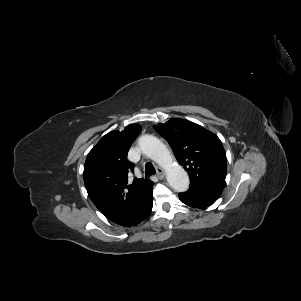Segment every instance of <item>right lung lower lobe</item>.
I'll return each instance as SVG.
<instances>
[{
	"label": "right lung lower lobe",
	"instance_id": "obj_1",
	"mask_svg": "<svg viewBox=\"0 0 301 301\" xmlns=\"http://www.w3.org/2000/svg\"><path fill=\"white\" fill-rule=\"evenodd\" d=\"M154 183H152L149 190L146 192L143 201L141 202L139 208L135 211L133 216H131L122 226H132L137 225L143 221L151 212L152 209V188Z\"/></svg>",
	"mask_w": 301,
	"mask_h": 301
}]
</instances>
